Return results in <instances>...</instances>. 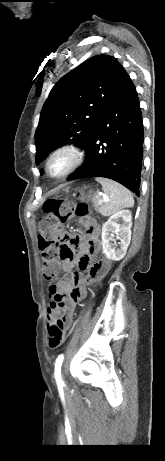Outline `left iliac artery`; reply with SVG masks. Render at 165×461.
Masks as SVG:
<instances>
[{
    "label": "left iliac artery",
    "instance_id": "left-iliac-artery-1",
    "mask_svg": "<svg viewBox=\"0 0 165 461\" xmlns=\"http://www.w3.org/2000/svg\"><path fill=\"white\" fill-rule=\"evenodd\" d=\"M63 358V355H59L55 363V378L59 385L63 384V381L61 380V365L63 362Z\"/></svg>",
    "mask_w": 165,
    "mask_h": 461
}]
</instances>
